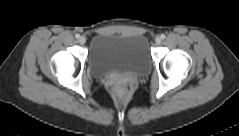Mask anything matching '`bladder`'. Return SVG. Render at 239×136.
<instances>
[{"label":"bladder","instance_id":"obj_1","mask_svg":"<svg viewBox=\"0 0 239 136\" xmlns=\"http://www.w3.org/2000/svg\"><path fill=\"white\" fill-rule=\"evenodd\" d=\"M89 66L96 76L145 73L151 66L148 40L140 34L98 33L91 41Z\"/></svg>","mask_w":239,"mask_h":136}]
</instances>
